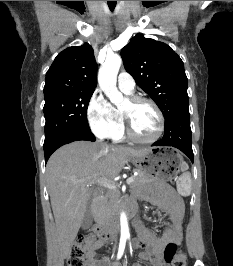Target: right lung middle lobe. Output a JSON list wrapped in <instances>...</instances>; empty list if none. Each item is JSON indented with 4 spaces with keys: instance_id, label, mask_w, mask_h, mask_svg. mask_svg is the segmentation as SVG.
Wrapping results in <instances>:
<instances>
[{
    "instance_id": "obj_1",
    "label": "right lung middle lobe",
    "mask_w": 233,
    "mask_h": 266,
    "mask_svg": "<svg viewBox=\"0 0 233 266\" xmlns=\"http://www.w3.org/2000/svg\"><path fill=\"white\" fill-rule=\"evenodd\" d=\"M93 92L75 91L45 97V142L64 132L90 130L87 107Z\"/></svg>"
}]
</instances>
